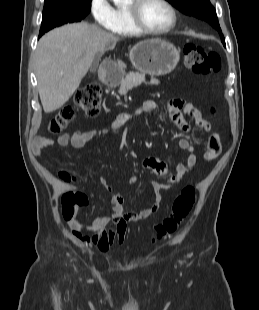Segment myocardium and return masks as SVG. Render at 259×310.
I'll list each match as a JSON object with an SVG mask.
<instances>
[{
	"instance_id": "obj_1",
	"label": "myocardium",
	"mask_w": 259,
	"mask_h": 310,
	"mask_svg": "<svg viewBox=\"0 0 259 310\" xmlns=\"http://www.w3.org/2000/svg\"><path fill=\"white\" fill-rule=\"evenodd\" d=\"M146 1L147 0H131V2L126 7L127 15L133 29L137 33L153 36H162L173 31L178 24V13L173 4L169 0H159L170 11L172 21L167 27L160 30H155L147 27L141 19V10Z\"/></svg>"
}]
</instances>
